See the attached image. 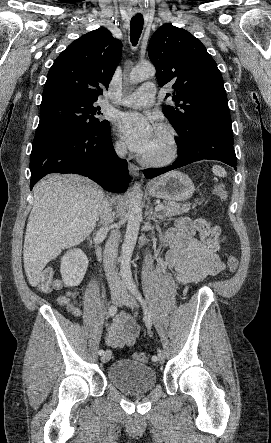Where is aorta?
<instances>
[{"label": "aorta", "instance_id": "aorta-1", "mask_svg": "<svg viewBox=\"0 0 271 443\" xmlns=\"http://www.w3.org/2000/svg\"><path fill=\"white\" fill-rule=\"evenodd\" d=\"M155 74L156 70L152 64H140V66H135V68L131 70L129 74L130 84L144 82L147 78H153ZM142 196L143 194L140 184H135V186H133L128 212L126 214L127 227L120 255V275L126 283H133L131 257L137 241L140 223L143 220Z\"/></svg>", "mask_w": 271, "mask_h": 443}]
</instances>
